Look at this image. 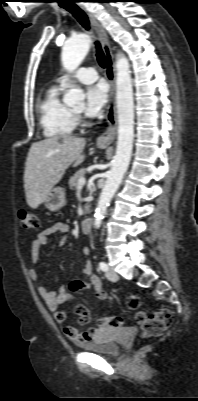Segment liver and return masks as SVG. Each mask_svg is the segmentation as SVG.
Wrapping results in <instances>:
<instances>
[{"mask_svg": "<svg viewBox=\"0 0 198 401\" xmlns=\"http://www.w3.org/2000/svg\"><path fill=\"white\" fill-rule=\"evenodd\" d=\"M86 140L53 136L31 145L25 164L24 189L28 205L36 209L61 180L70 165H80Z\"/></svg>", "mask_w": 198, "mask_h": 401, "instance_id": "1", "label": "liver"}]
</instances>
